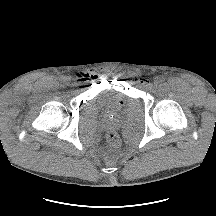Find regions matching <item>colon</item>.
<instances>
[{
  "mask_svg": "<svg viewBox=\"0 0 216 216\" xmlns=\"http://www.w3.org/2000/svg\"><path fill=\"white\" fill-rule=\"evenodd\" d=\"M107 143L112 146L116 147L119 144V137L116 132L110 131L106 136Z\"/></svg>",
  "mask_w": 216,
  "mask_h": 216,
  "instance_id": "5ec220e1",
  "label": "colon"
}]
</instances>
